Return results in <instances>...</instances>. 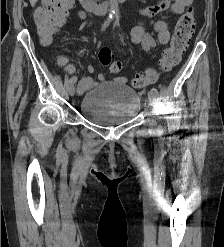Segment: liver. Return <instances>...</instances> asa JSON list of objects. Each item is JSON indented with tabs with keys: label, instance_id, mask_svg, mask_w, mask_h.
Wrapping results in <instances>:
<instances>
[{
	"label": "liver",
	"instance_id": "1",
	"mask_svg": "<svg viewBox=\"0 0 224 247\" xmlns=\"http://www.w3.org/2000/svg\"><path fill=\"white\" fill-rule=\"evenodd\" d=\"M29 2H30V4H31L32 8H34V6H35L37 0H29Z\"/></svg>",
	"mask_w": 224,
	"mask_h": 247
}]
</instances>
